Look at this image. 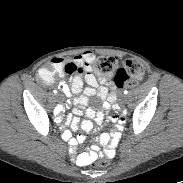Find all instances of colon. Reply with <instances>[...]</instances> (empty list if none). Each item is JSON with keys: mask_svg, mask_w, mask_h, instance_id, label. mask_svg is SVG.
I'll return each mask as SVG.
<instances>
[{"mask_svg": "<svg viewBox=\"0 0 183 183\" xmlns=\"http://www.w3.org/2000/svg\"><path fill=\"white\" fill-rule=\"evenodd\" d=\"M96 69L105 77H111L116 88L122 89L126 87H134L145 75V67L138 61L126 60L119 61L116 57L106 56L99 57L95 62ZM72 67H65L63 73H71ZM59 73L54 69L48 68L38 72V79L44 84H49L55 79V75ZM109 159L105 154L100 157L88 159L89 163H93L98 167H105Z\"/></svg>", "mask_w": 183, "mask_h": 183, "instance_id": "1", "label": "colon"}]
</instances>
